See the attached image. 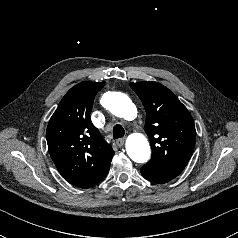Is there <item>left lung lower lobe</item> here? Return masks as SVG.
Listing matches in <instances>:
<instances>
[{
  "label": "left lung lower lobe",
  "mask_w": 238,
  "mask_h": 238,
  "mask_svg": "<svg viewBox=\"0 0 238 238\" xmlns=\"http://www.w3.org/2000/svg\"><path fill=\"white\" fill-rule=\"evenodd\" d=\"M140 171L145 179L155 183H167L182 172L181 170L162 167L151 162L142 166Z\"/></svg>",
  "instance_id": "left-lung-lower-lobe-1"
}]
</instances>
